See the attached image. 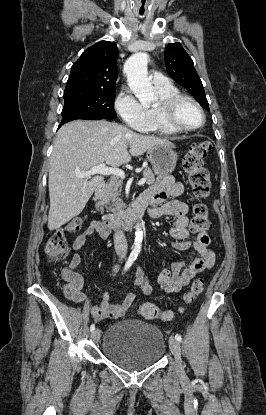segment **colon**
Returning <instances> with one entry per match:
<instances>
[{"instance_id": "5ec220e1", "label": "colon", "mask_w": 266, "mask_h": 415, "mask_svg": "<svg viewBox=\"0 0 266 415\" xmlns=\"http://www.w3.org/2000/svg\"><path fill=\"white\" fill-rule=\"evenodd\" d=\"M211 150V144L207 141L193 144L183 158V170L188 177V181L194 196L203 200L210 194L211 181L208 171L204 168L203 162ZM83 226V219L80 216L73 217L66 225L65 230L71 233L78 232ZM210 227L208 219V209L205 204L198 203L193 209V218L190 224V230L194 233H206ZM69 251L65 232L63 230L56 231L48 240L45 246V254L48 259L57 261L64 258ZM67 285L65 294L72 299L76 289L70 274L65 275ZM204 289V283L201 279L195 280L189 291L185 294L186 303H191L198 297ZM138 313L146 319L162 318L170 320L172 313L169 311H161L152 303H143L137 307Z\"/></svg>"}]
</instances>
